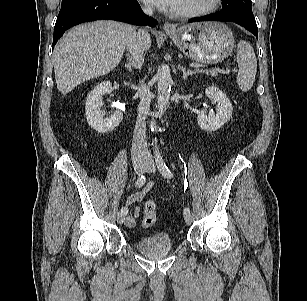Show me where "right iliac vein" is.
Segmentation results:
<instances>
[{
	"label": "right iliac vein",
	"instance_id": "obj_1",
	"mask_svg": "<svg viewBox=\"0 0 307 301\" xmlns=\"http://www.w3.org/2000/svg\"><path fill=\"white\" fill-rule=\"evenodd\" d=\"M133 167L137 174H141L145 168V162L142 155L133 158ZM125 221V214L121 211L117 213V222L122 224Z\"/></svg>",
	"mask_w": 307,
	"mask_h": 301
}]
</instances>
